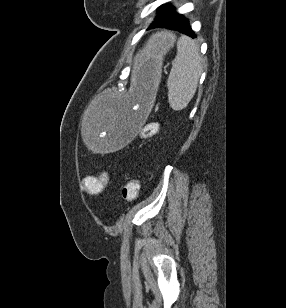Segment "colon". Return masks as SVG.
I'll list each match as a JSON object with an SVG mask.
<instances>
[{
	"label": "colon",
	"instance_id": "5ec220e1",
	"mask_svg": "<svg viewBox=\"0 0 286 308\" xmlns=\"http://www.w3.org/2000/svg\"><path fill=\"white\" fill-rule=\"evenodd\" d=\"M158 129V124L150 123L141 132L142 137H149ZM108 184V175L102 174L99 177H85L81 181V188L87 193H100ZM140 190V179L133 177L122 187V197L125 201H133L137 198Z\"/></svg>",
	"mask_w": 286,
	"mask_h": 308
}]
</instances>
